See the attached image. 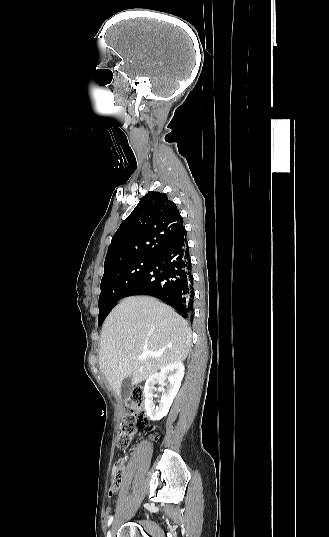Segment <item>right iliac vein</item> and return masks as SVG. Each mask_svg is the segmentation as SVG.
Returning <instances> with one entry per match:
<instances>
[{
  "mask_svg": "<svg viewBox=\"0 0 329 537\" xmlns=\"http://www.w3.org/2000/svg\"><path fill=\"white\" fill-rule=\"evenodd\" d=\"M107 537H112V531L111 530L108 532Z\"/></svg>",
  "mask_w": 329,
  "mask_h": 537,
  "instance_id": "1",
  "label": "right iliac vein"
}]
</instances>
